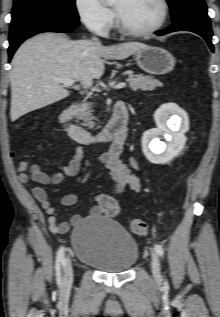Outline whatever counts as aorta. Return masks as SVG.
Masks as SVG:
<instances>
[{
    "label": "aorta",
    "instance_id": "aorta-1",
    "mask_svg": "<svg viewBox=\"0 0 220 317\" xmlns=\"http://www.w3.org/2000/svg\"><path fill=\"white\" fill-rule=\"evenodd\" d=\"M108 3H114L115 0H106Z\"/></svg>",
    "mask_w": 220,
    "mask_h": 317
}]
</instances>
